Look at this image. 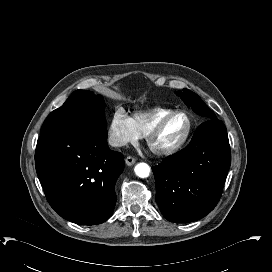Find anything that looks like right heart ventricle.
<instances>
[{
  "mask_svg": "<svg viewBox=\"0 0 272 272\" xmlns=\"http://www.w3.org/2000/svg\"><path fill=\"white\" fill-rule=\"evenodd\" d=\"M173 112L172 109L158 108L150 113H136L133 116L135 124L138 126L143 134H146L161 117Z\"/></svg>",
  "mask_w": 272,
  "mask_h": 272,
  "instance_id": "obj_1",
  "label": "right heart ventricle"
}]
</instances>
